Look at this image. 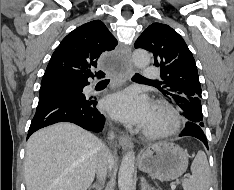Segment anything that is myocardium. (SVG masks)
Wrapping results in <instances>:
<instances>
[{"label": "myocardium", "mask_w": 234, "mask_h": 190, "mask_svg": "<svg viewBox=\"0 0 234 190\" xmlns=\"http://www.w3.org/2000/svg\"><path fill=\"white\" fill-rule=\"evenodd\" d=\"M154 112L164 118L165 124L158 128L146 127L144 135L150 139L167 137L177 133L181 127V120L178 112L166 102H157L154 106Z\"/></svg>", "instance_id": "myocardium-1"}]
</instances>
